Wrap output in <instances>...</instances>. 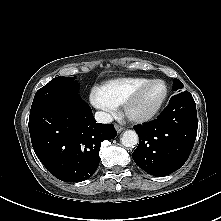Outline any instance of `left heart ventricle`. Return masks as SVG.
I'll return each instance as SVG.
<instances>
[{"label": "left heart ventricle", "mask_w": 221, "mask_h": 221, "mask_svg": "<svg viewBox=\"0 0 221 221\" xmlns=\"http://www.w3.org/2000/svg\"><path fill=\"white\" fill-rule=\"evenodd\" d=\"M164 93L163 85L160 83L149 86L142 94L138 103L134 106L133 112L137 115L145 114L152 110L162 98Z\"/></svg>", "instance_id": "1"}]
</instances>
